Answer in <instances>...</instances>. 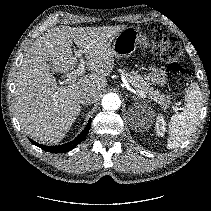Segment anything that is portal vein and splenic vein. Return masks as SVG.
Masks as SVG:
<instances>
[{"instance_id": "portal-vein-and-splenic-vein-1", "label": "portal vein and splenic vein", "mask_w": 211, "mask_h": 211, "mask_svg": "<svg viewBox=\"0 0 211 211\" xmlns=\"http://www.w3.org/2000/svg\"><path fill=\"white\" fill-rule=\"evenodd\" d=\"M76 56L80 57V64H79V67L78 69L72 71L69 73L68 75V79L67 81H74L76 80V78L80 75H82L84 72H85V61L84 59L81 57V51H78L76 53ZM131 92H133L134 94L140 96V97H144L145 98V94L142 93L141 91L139 90H136V89H129ZM177 107H174V109L176 110Z\"/></svg>"}]
</instances>
